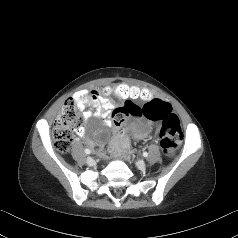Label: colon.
I'll return each mask as SVG.
<instances>
[{"instance_id": "5ec220e1", "label": "colon", "mask_w": 238, "mask_h": 238, "mask_svg": "<svg viewBox=\"0 0 238 238\" xmlns=\"http://www.w3.org/2000/svg\"><path fill=\"white\" fill-rule=\"evenodd\" d=\"M98 92L104 98L110 97L125 103V106L115 108L111 113L112 121L119 133H122L128 116L143 115L151 121L161 122L160 145L166 155L174 153L182 143L183 132L179 118L172 112L169 103L158 99L150 100L152 96L150 89L141 85L127 86L122 83L112 85L104 83L100 85ZM136 100L150 101L141 108L130 103ZM81 119L82 109L78 103L73 98L66 100L53 128L54 146L57 151L61 153L70 151L73 132L79 128ZM127 149L119 136L111 144L110 153L114 157L127 159Z\"/></svg>"}]
</instances>
